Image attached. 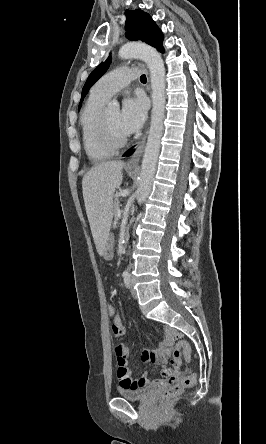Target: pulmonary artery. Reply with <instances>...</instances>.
Returning a JSON list of instances; mask_svg holds the SVG:
<instances>
[{"mask_svg":"<svg viewBox=\"0 0 266 444\" xmlns=\"http://www.w3.org/2000/svg\"><path fill=\"white\" fill-rule=\"evenodd\" d=\"M138 67H119L104 75L93 87L97 95L109 99L112 95L129 85L140 74Z\"/></svg>","mask_w":266,"mask_h":444,"instance_id":"e3ab8cb5","label":"pulmonary artery"}]
</instances>
